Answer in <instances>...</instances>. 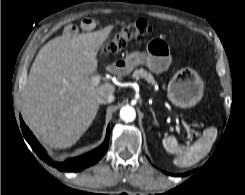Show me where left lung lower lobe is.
Listing matches in <instances>:
<instances>
[{
  "label": "left lung lower lobe",
  "mask_w": 245,
  "mask_h": 195,
  "mask_svg": "<svg viewBox=\"0 0 245 195\" xmlns=\"http://www.w3.org/2000/svg\"><path fill=\"white\" fill-rule=\"evenodd\" d=\"M188 173H184V174H176V176H185L187 175Z\"/></svg>",
  "instance_id": "obj_1"
}]
</instances>
